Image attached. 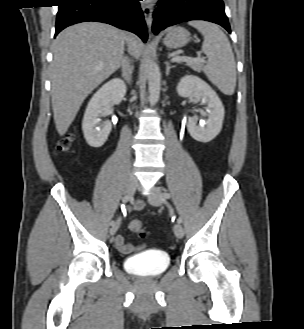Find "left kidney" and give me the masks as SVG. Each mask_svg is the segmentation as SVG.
I'll return each instance as SVG.
<instances>
[{"label": "left kidney", "instance_id": "1", "mask_svg": "<svg viewBox=\"0 0 304 329\" xmlns=\"http://www.w3.org/2000/svg\"><path fill=\"white\" fill-rule=\"evenodd\" d=\"M177 92L181 97L195 98L207 104L208 119L203 124H197V116L189 117L187 129L196 141L207 143L213 140L222 129L225 114L224 106L216 92L204 80L193 75L180 79Z\"/></svg>", "mask_w": 304, "mask_h": 329}]
</instances>
